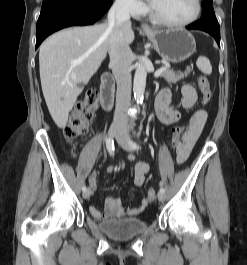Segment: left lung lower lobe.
<instances>
[{"mask_svg":"<svg viewBox=\"0 0 247 265\" xmlns=\"http://www.w3.org/2000/svg\"><path fill=\"white\" fill-rule=\"evenodd\" d=\"M189 30H202L211 34L220 46V29L216 19L212 0L202 1V16L197 22L187 26Z\"/></svg>","mask_w":247,"mask_h":265,"instance_id":"1","label":"left lung lower lobe"}]
</instances>
